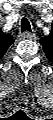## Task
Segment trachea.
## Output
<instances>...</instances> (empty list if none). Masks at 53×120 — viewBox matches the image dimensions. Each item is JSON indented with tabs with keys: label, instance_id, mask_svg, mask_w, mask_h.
I'll return each mask as SVG.
<instances>
[{
	"label": "trachea",
	"instance_id": "3493384b",
	"mask_svg": "<svg viewBox=\"0 0 53 120\" xmlns=\"http://www.w3.org/2000/svg\"><path fill=\"white\" fill-rule=\"evenodd\" d=\"M31 32V26L29 21L26 18H22L21 20V32Z\"/></svg>",
	"mask_w": 53,
	"mask_h": 120
}]
</instances>
